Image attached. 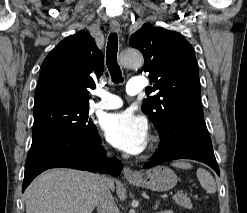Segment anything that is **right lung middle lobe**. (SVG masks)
Instances as JSON below:
<instances>
[{
    "mask_svg": "<svg viewBox=\"0 0 247 213\" xmlns=\"http://www.w3.org/2000/svg\"><path fill=\"white\" fill-rule=\"evenodd\" d=\"M33 111V139L57 131L78 130L90 137L97 133L95 125L88 118V106L53 103Z\"/></svg>",
    "mask_w": 247,
    "mask_h": 213,
    "instance_id": "obj_1",
    "label": "right lung middle lobe"
}]
</instances>
